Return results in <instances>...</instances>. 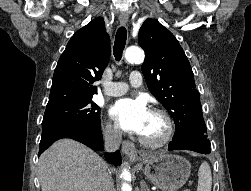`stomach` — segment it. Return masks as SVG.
Returning a JSON list of instances; mask_svg holds the SVG:
<instances>
[{"instance_id": "stomach-1", "label": "stomach", "mask_w": 251, "mask_h": 191, "mask_svg": "<svg viewBox=\"0 0 251 191\" xmlns=\"http://www.w3.org/2000/svg\"><path fill=\"white\" fill-rule=\"evenodd\" d=\"M144 173L151 183L163 191H176L184 185L191 173V165L185 157L162 151L157 155H142ZM143 163H138L142 167Z\"/></svg>"}]
</instances>
